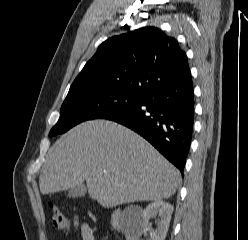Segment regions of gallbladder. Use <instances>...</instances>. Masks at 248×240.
Masks as SVG:
<instances>
[{"label": "gallbladder", "mask_w": 248, "mask_h": 240, "mask_svg": "<svg viewBox=\"0 0 248 240\" xmlns=\"http://www.w3.org/2000/svg\"><path fill=\"white\" fill-rule=\"evenodd\" d=\"M86 191H87V189H86L85 185L81 184V185H78L76 187L69 189L68 197H70V198L82 197L86 194Z\"/></svg>", "instance_id": "bac80fb5"}]
</instances>
